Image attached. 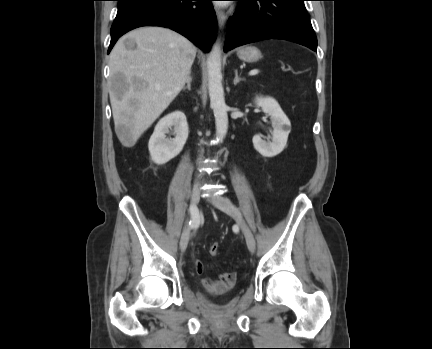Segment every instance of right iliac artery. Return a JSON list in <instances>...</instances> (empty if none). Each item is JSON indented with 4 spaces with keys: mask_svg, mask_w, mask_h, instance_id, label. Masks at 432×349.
Listing matches in <instances>:
<instances>
[{
    "mask_svg": "<svg viewBox=\"0 0 432 349\" xmlns=\"http://www.w3.org/2000/svg\"><path fill=\"white\" fill-rule=\"evenodd\" d=\"M196 210H197V207H190V211H191V213H192V215H191V218L193 219V220H191L190 222H189V225H190V227L191 228H193V227H195L196 226V224H195V220L197 219L196 218Z\"/></svg>",
    "mask_w": 432,
    "mask_h": 349,
    "instance_id": "1",
    "label": "right iliac artery"
}]
</instances>
